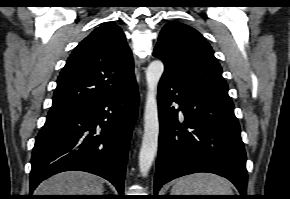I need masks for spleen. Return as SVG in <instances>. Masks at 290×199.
I'll return each instance as SVG.
<instances>
[{
	"mask_svg": "<svg viewBox=\"0 0 290 199\" xmlns=\"http://www.w3.org/2000/svg\"><path fill=\"white\" fill-rule=\"evenodd\" d=\"M171 195H233L225 178L210 173H196L177 180Z\"/></svg>",
	"mask_w": 290,
	"mask_h": 199,
	"instance_id": "spleen-1",
	"label": "spleen"
}]
</instances>
